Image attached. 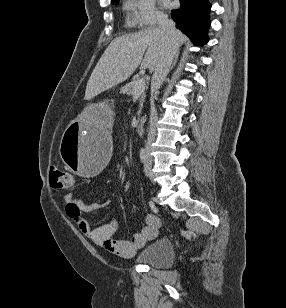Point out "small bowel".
Returning <instances> with one entry per match:
<instances>
[{
	"mask_svg": "<svg viewBox=\"0 0 286 308\" xmlns=\"http://www.w3.org/2000/svg\"><path fill=\"white\" fill-rule=\"evenodd\" d=\"M63 201L67 216L75 223L77 228L94 244L118 257H132L147 241L157 236L161 225L160 218L156 214L150 213L146 215L145 226L140 231L133 233L126 239H114L113 235L118 227L116 218H112L109 222L98 227H92L84 216L85 213L111 207V199L89 204L76 199L73 194L68 193L63 196Z\"/></svg>",
	"mask_w": 286,
	"mask_h": 308,
	"instance_id": "obj_1",
	"label": "small bowel"
}]
</instances>
